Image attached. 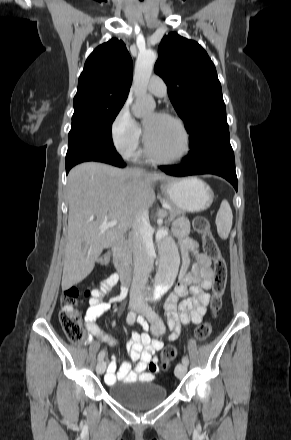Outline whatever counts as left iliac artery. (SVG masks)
Instances as JSON below:
<instances>
[{"label": "left iliac artery", "instance_id": "obj_1", "mask_svg": "<svg viewBox=\"0 0 291 440\" xmlns=\"http://www.w3.org/2000/svg\"><path fill=\"white\" fill-rule=\"evenodd\" d=\"M159 326H160L161 329H165L163 323H160ZM182 363L185 364V365H188V364H189V360H188V358H187L186 356H184V357L182 358Z\"/></svg>", "mask_w": 291, "mask_h": 440}]
</instances>
